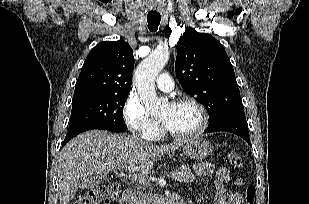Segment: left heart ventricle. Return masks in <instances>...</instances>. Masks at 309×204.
<instances>
[{"instance_id":"1","label":"left heart ventricle","mask_w":309,"mask_h":204,"mask_svg":"<svg viewBox=\"0 0 309 204\" xmlns=\"http://www.w3.org/2000/svg\"><path fill=\"white\" fill-rule=\"evenodd\" d=\"M159 119L175 133L191 132L199 126L201 121L200 113L194 106H174L172 104L161 111Z\"/></svg>"}]
</instances>
